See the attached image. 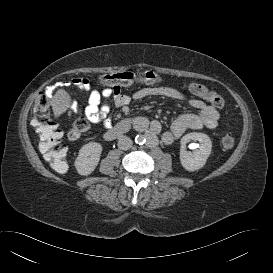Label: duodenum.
<instances>
[{
	"instance_id": "duodenum-1",
	"label": "duodenum",
	"mask_w": 273,
	"mask_h": 273,
	"mask_svg": "<svg viewBox=\"0 0 273 273\" xmlns=\"http://www.w3.org/2000/svg\"><path fill=\"white\" fill-rule=\"evenodd\" d=\"M131 124L132 121L130 119L121 120L105 133V139L113 140L124 135L131 128Z\"/></svg>"
}]
</instances>
